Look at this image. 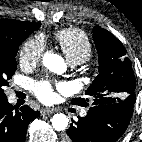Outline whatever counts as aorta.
Listing matches in <instances>:
<instances>
[{"instance_id":"obj_1","label":"aorta","mask_w":142,"mask_h":142,"mask_svg":"<svg viewBox=\"0 0 142 142\" xmlns=\"http://www.w3.org/2000/svg\"><path fill=\"white\" fill-rule=\"evenodd\" d=\"M43 64L47 69L56 74H62L66 70V64L63 58L51 51H47L44 54ZM68 122L67 116L62 113L55 114L51 119L52 126L56 131L65 130L68 126Z\"/></svg>"}]
</instances>
